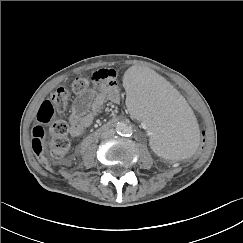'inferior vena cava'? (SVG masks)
I'll return each instance as SVG.
<instances>
[{"label":"inferior vena cava","instance_id":"obj_1","mask_svg":"<svg viewBox=\"0 0 243 243\" xmlns=\"http://www.w3.org/2000/svg\"><path fill=\"white\" fill-rule=\"evenodd\" d=\"M115 134V131L113 129H107L102 132L101 136L102 138H109Z\"/></svg>","mask_w":243,"mask_h":243}]
</instances>
